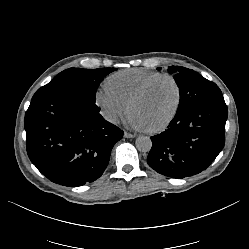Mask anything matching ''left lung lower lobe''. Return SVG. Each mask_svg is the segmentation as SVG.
Segmentation results:
<instances>
[{"label": "left lung lower lobe", "mask_w": 249, "mask_h": 249, "mask_svg": "<svg viewBox=\"0 0 249 249\" xmlns=\"http://www.w3.org/2000/svg\"><path fill=\"white\" fill-rule=\"evenodd\" d=\"M227 116L224 99L199 103L176 115L164 132L151 137L149 166L176 179L205 170L224 147Z\"/></svg>", "instance_id": "obj_1"}]
</instances>
